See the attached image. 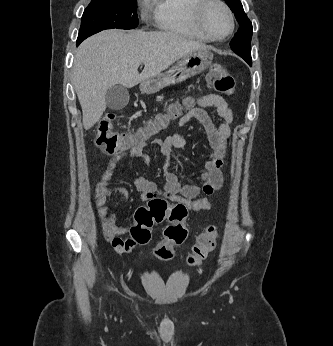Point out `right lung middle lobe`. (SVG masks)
Returning a JSON list of instances; mask_svg holds the SVG:
<instances>
[{
    "label": "right lung middle lobe",
    "instance_id": "dd1d6c3e",
    "mask_svg": "<svg viewBox=\"0 0 333 346\" xmlns=\"http://www.w3.org/2000/svg\"><path fill=\"white\" fill-rule=\"evenodd\" d=\"M136 10V0H92L83 13L77 45L105 29L137 27Z\"/></svg>",
    "mask_w": 333,
    "mask_h": 346
}]
</instances>
